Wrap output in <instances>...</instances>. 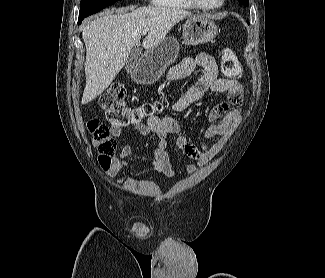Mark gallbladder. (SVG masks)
Masks as SVG:
<instances>
[{"instance_id": "gallbladder-1", "label": "gallbladder", "mask_w": 325, "mask_h": 278, "mask_svg": "<svg viewBox=\"0 0 325 278\" xmlns=\"http://www.w3.org/2000/svg\"><path fill=\"white\" fill-rule=\"evenodd\" d=\"M141 53H142V51H141V48L140 47H134L131 50L130 58H129V60L126 63V71L128 73L129 72L132 73V71L134 69V66H135L137 60L139 59Z\"/></svg>"}]
</instances>
